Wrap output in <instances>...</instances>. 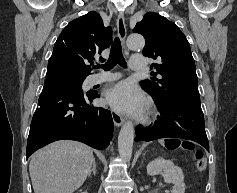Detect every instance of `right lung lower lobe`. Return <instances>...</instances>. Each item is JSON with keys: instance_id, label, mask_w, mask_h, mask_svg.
Listing matches in <instances>:
<instances>
[{"instance_id": "98d812e1", "label": "right lung lower lobe", "mask_w": 237, "mask_h": 193, "mask_svg": "<svg viewBox=\"0 0 237 193\" xmlns=\"http://www.w3.org/2000/svg\"><path fill=\"white\" fill-rule=\"evenodd\" d=\"M96 92L81 93L60 83L44 85L27 141V158L39 148L62 139L104 149L113 137L109 110L90 103Z\"/></svg>"}]
</instances>
